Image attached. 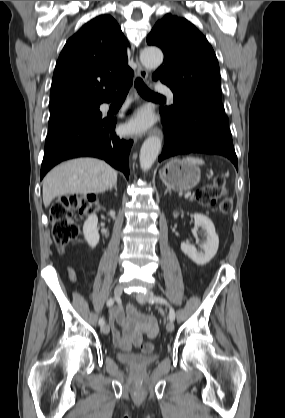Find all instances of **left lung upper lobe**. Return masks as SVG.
I'll use <instances>...</instances> for the list:
<instances>
[{"label":"left lung upper lobe","mask_w":285,"mask_h":418,"mask_svg":"<svg viewBox=\"0 0 285 418\" xmlns=\"http://www.w3.org/2000/svg\"><path fill=\"white\" fill-rule=\"evenodd\" d=\"M147 43L164 53V63L153 73V79L169 86L174 95V104L161 107V114L171 117L193 107L225 113L218 60L192 23L166 14L147 36Z\"/></svg>","instance_id":"5c2ea615"}]
</instances>
